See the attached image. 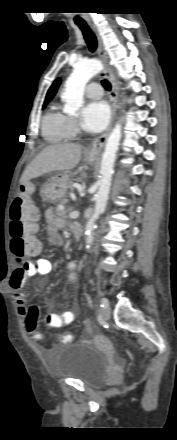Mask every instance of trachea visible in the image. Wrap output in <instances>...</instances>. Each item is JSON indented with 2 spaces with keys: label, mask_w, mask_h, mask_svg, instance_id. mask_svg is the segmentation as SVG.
I'll return each instance as SVG.
<instances>
[{
  "label": "trachea",
  "mask_w": 177,
  "mask_h": 440,
  "mask_svg": "<svg viewBox=\"0 0 177 440\" xmlns=\"http://www.w3.org/2000/svg\"><path fill=\"white\" fill-rule=\"evenodd\" d=\"M77 25L82 30L84 39L88 45L89 50L91 52H94L97 48V39L95 34L86 23H77ZM102 85L106 90L110 91L111 84L107 80H103Z\"/></svg>",
  "instance_id": "obj_1"
}]
</instances>
